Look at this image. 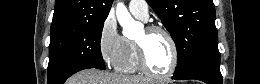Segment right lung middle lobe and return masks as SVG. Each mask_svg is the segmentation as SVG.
Wrapping results in <instances>:
<instances>
[{"label":"right lung middle lobe","mask_w":260,"mask_h":84,"mask_svg":"<svg viewBox=\"0 0 260 84\" xmlns=\"http://www.w3.org/2000/svg\"><path fill=\"white\" fill-rule=\"evenodd\" d=\"M104 21L83 22L51 33L48 84H62L86 68L106 69L100 49Z\"/></svg>","instance_id":"1"}]
</instances>
